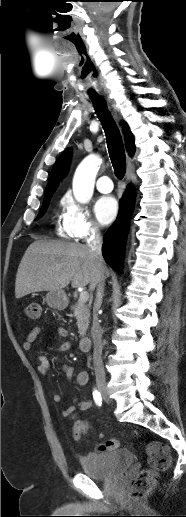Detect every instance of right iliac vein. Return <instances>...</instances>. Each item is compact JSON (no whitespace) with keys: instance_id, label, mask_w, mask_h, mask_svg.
I'll list each match as a JSON object with an SVG mask.
<instances>
[{"instance_id":"63e3f726","label":"right iliac vein","mask_w":186,"mask_h":517,"mask_svg":"<svg viewBox=\"0 0 186 517\" xmlns=\"http://www.w3.org/2000/svg\"><path fill=\"white\" fill-rule=\"evenodd\" d=\"M98 390L99 392L101 393V395L109 401V395H108V392H107V389L104 387L103 384H99L98 385Z\"/></svg>"}]
</instances>
